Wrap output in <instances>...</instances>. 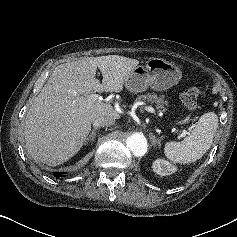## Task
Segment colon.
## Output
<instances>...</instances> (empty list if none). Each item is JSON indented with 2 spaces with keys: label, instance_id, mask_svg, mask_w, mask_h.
<instances>
[{
  "label": "colon",
  "instance_id": "5ec220e1",
  "mask_svg": "<svg viewBox=\"0 0 237 237\" xmlns=\"http://www.w3.org/2000/svg\"><path fill=\"white\" fill-rule=\"evenodd\" d=\"M202 94L199 88L192 87L185 90L181 95V106L186 111H192L197 106L198 97Z\"/></svg>",
  "mask_w": 237,
  "mask_h": 237
}]
</instances>
